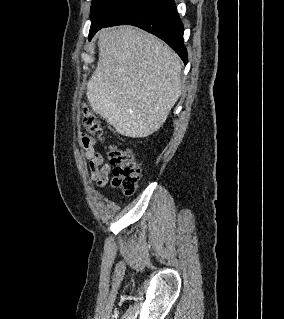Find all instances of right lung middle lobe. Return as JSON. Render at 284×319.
Instances as JSON below:
<instances>
[{"label":"right lung middle lobe","mask_w":284,"mask_h":319,"mask_svg":"<svg viewBox=\"0 0 284 319\" xmlns=\"http://www.w3.org/2000/svg\"><path fill=\"white\" fill-rule=\"evenodd\" d=\"M135 0H92L90 36Z\"/></svg>","instance_id":"obj_1"}]
</instances>
